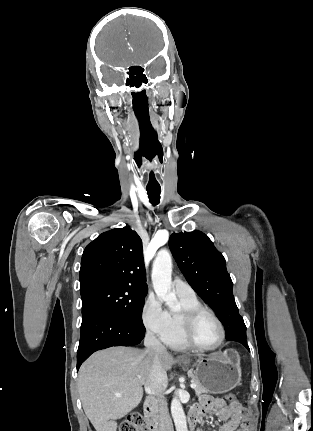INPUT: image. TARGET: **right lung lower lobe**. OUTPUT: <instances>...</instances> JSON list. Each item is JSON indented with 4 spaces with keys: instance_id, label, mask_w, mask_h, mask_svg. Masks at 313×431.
<instances>
[{
    "instance_id": "98d812e1",
    "label": "right lung lower lobe",
    "mask_w": 313,
    "mask_h": 431,
    "mask_svg": "<svg viewBox=\"0 0 313 431\" xmlns=\"http://www.w3.org/2000/svg\"><path fill=\"white\" fill-rule=\"evenodd\" d=\"M144 334V326H138L108 310H94L82 316L77 370L95 351L112 346L137 345L144 338Z\"/></svg>"
}]
</instances>
